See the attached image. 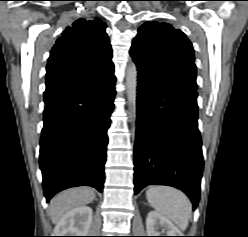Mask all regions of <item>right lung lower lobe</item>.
Segmentation results:
<instances>
[{
    "label": "right lung lower lobe",
    "mask_w": 248,
    "mask_h": 237,
    "mask_svg": "<svg viewBox=\"0 0 248 237\" xmlns=\"http://www.w3.org/2000/svg\"><path fill=\"white\" fill-rule=\"evenodd\" d=\"M115 81L111 69L45 91L39 164L47 202L70 187L86 185L102 192Z\"/></svg>",
    "instance_id": "obj_1"
}]
</instances>
